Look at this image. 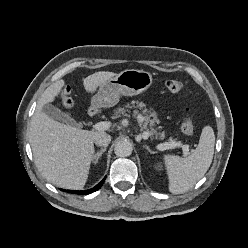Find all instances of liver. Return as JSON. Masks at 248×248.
Returning a JSON list of instances; mask_svg holds the SVG:
<instances>
[{"mask_svg": "<svg viewBox=\"0 0 248 248\" xmlns=\"http://www.w3.org/2000/svg\"><path fill=\"white\" fill-rule=\"evenodd\" d=\"M116 73L101 71L83 80L88 93H93ZM64 80L51 84L41 95L31 120L29 140L34 162L41 175L55 186L82 189L88 179L94 156V139L102 131L81 130L51 119L42 111L44 105L54 101Z\"/></svg>", "mask_w": 248, "mask_h": 248, "instance_id": "6515ba94", "label": "liver"}]
</instances>
